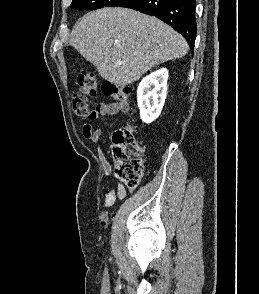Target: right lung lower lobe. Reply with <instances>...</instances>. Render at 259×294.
<instances>
[{
    "label": "right lung lower lobe",
    "mask_w": 259,
    "mask_h": 294,
    "mask_svg": "<svg viewBox=\"0 0 259 294\" xmlns=\"http://www.w3.org/2000/svg\"><path fill=\"white\" fill-rule=\"evenodd\" d=\"M120 7L158 17L179 32L193 52L197 33L196 0H129Z\"/></svg>",
    "instance_id": "98d812e1"
}]
</instances>
